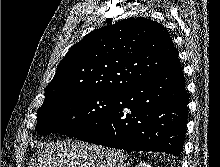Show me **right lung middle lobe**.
<instances>
[{
    "instance_id": "1",
    "label": "right lung middle lobe",
    "mask_w": 220,
    "mask_h": 167,
    "mask_svg": "<svg viewBox=\"0 0 220 167\" xmlns=\"http://www.w3.org/2000/svg\"><path fill=\"white\" fill-rule=\"evenodd\" d=\"M118 92L82 89L44 101L38 109L40 135L61 133L78 137L94 127L113 105Z\"/></svg>"
}]
</instances>
